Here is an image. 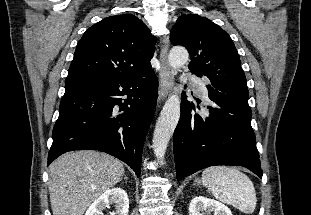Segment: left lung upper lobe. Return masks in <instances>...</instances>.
Segmentation results:
<instances>
[{
  "mask_svg": "<svg viewBox=\"0 0 311 215\" xmlns=\"http://www.w3.org/2000/svg\"><path fill=\"white\" fill-rule=\"evenodd\" d=\"M170 41L187 48L189 69L207 77L216 90L249 97L238 52L221 27L197 14L182 15L171 30Z\"/></svg>",
  "mask_w": 311,
  "mask_h": 215,
  "instance_id": "1",
  "label": "left lung upper lobe"
}]
</instances>
